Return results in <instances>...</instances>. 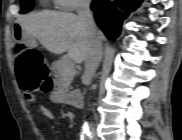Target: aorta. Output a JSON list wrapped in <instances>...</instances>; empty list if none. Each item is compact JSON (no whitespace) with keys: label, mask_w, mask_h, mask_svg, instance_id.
Here are the masks:
<instances>
[{"label":"aorta","mask_w":182,"mask_h":140,"mask_svg":"<svg viewBox=\"0 0 182 140\" xmlns=\"http://www.w3.org/2000/svg\"><path fill=\"white\" fill-rule=\"evenodd\" d=\"M89 135H90V133H89L88 125H87V123H85L84 127H83V131H82V137L85 139H88Z\"/></svg>","instance_id":"aorta-1"}]
</instances>
